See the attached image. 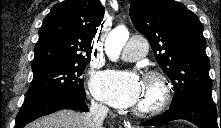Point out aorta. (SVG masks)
Returning a JSON list of instances; mask_svg holds the SVG:
<instances>
[{
    "instance_id": "762f6f07",
    "label": "aorta",
    "mask_w": 221,
    "mask_h": 128,
    "mask_svg": "<svg viewBox=\"0 0 221 128\" xmlns=\"http://www.w3.org/2000/svg\"><path fill=\"white\" fill-rule=\"evenodd\" d=\"M128 39L129 31L125 26H118L108 34L105 41V52L111 61H117Z\"/></svg>"
}]
</instances>
